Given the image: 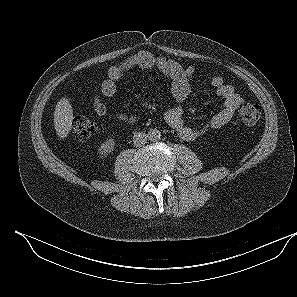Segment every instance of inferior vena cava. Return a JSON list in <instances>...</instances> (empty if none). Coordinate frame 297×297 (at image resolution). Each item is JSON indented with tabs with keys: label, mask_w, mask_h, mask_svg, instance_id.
I'll use <instances>...</instances> for the list:
<instances>
[{
	"label": "inferior vena cava",
	"mask_w": 297,
	"mask_h": 297,
	"mask_svg": "<svg viewBox=\"0 0 297 297\" xmlns=\"http://www.w3.org/2000/svg\"><path fill=\"white\" fill-rule=\"evenodd\" d=\"M148 140V135L145 132H137L133 136V144L137 147L143 146Z\"/></svg>",
	"instance_id": "obj_1"
}]
</instances>
